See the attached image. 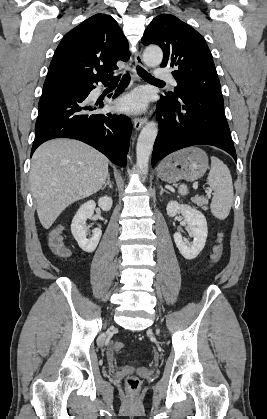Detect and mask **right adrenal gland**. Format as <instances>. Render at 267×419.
I'll list each match as a JSON object with an SVG mask.
<instances>
[{"label":"right adrenal gland","instance_id":"right-adrenal-gland-1","mask_svg":"<svg viewBox=\"0 0 267 419\" xmlns=\"http://www.w3.org/2000/svg\"><path fill=\"white\" fill-rule=\"evenodd\" d=\"M106 186H109L111 189L113 188L112 183H111V180H110V174H108V176H107V182L102 187V190H104L106 188Z\"/></svg>","mask_w":267,"mask_h":419}]
</instances>
